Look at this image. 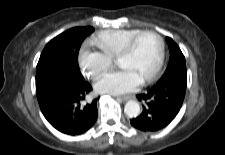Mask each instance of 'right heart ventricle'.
<instances>
[{
	"label": "right heart ventricle",
	"mask_w": 225,
	"mask_h": 155,
	"mask_svg": "<svg viewBox=\"0 0 225 155\" xmlns=\"http://www.w3.org/2000/svg\"><path fill=\"white\" fill-rule=\"evenodd\" d=\"M140 29H115L98 33L92 43L110 59H115L125 43Z\"/></svg>",
	"instance_id": "obj_1"
}]
</instances>
